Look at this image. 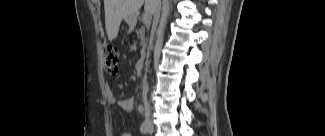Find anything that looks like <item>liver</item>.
Returning <instances> with one entry per match:
<instances>
[{
  "label": "liver",
  "mask_w": 325,
  "mask_h": 136,
  "mask_svg": "<svg viewBox=\"0 0 325 136\" xmlns=\"http://www.w3.org/2000/svg\"><path fill=\"white\" fill-rule=\"evenodd\" d=\"M144 1L145 11L153 13L152 0H104L105 26L109 41L117 37L123 18L130 15L137 18Z\"/></svg>",
  "instance_id": "obj_1"
}]
</instances>
